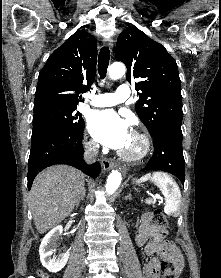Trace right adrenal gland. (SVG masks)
Masks as SVG:
<instances>
[{
  "instance_id": "obj_1",
  "label": "right adrenal gland",
  "mask_w": 221,
  "mask_h": 278,
  "mask_svg": "<svg viewBox=\"0 0 221 278\" xmlns=\"http://www.w3.org/2000/svg\"><path fill=\"white\" fill-rule=\"evenodd\" d=\"M85 196H86V189L84 188L81 197L77 201L76 208H78L80 202L84 200Z\"/></svg>"
}]
</instances>
